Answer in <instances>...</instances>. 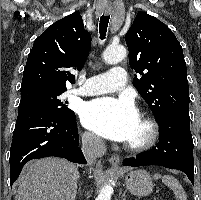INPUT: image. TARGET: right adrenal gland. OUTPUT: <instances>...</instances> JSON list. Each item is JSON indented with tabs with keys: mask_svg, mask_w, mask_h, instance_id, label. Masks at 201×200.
I'll use <instances>...</instances> for the list:
<instances>
[{
	"mask_svg": "<svg viewBox=\"0 0 201 200\" xmlns=\"http://www.w3.org/2000/svg\"><path fill=\"white\" fill-rule=\"evenodd\" d=\"M78 193H79V197H80L81 196V188L80 187H79Z\"/></svg>",
	"mask_w": 201,
	"mask_h": 200,
	"instance_id": "1",
	"label": "right adrenal gland"
}]
</instances>
